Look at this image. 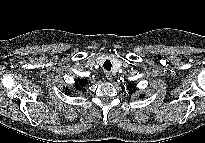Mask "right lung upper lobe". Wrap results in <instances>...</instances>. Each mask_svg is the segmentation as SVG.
<instances>
[{
  "label": "right lung upper lobe",
  "mask_w": 205,
  "mask_h": 143,
  "mask_svg": "<svg viewBox=\"0 0 205 143\" xmlns=\"http://www.w3.org/2000/svg\"><path fill=\"white\" fill-rule=\"evenodd\" d=\"M87 83L86 80H77L75 86L77 87L78 90H80V87H83ZM66 93H69V91H66Z\"/></svg>",
  "instance_id": "right-lung-upper-lobe-1"
}]
</instances>
